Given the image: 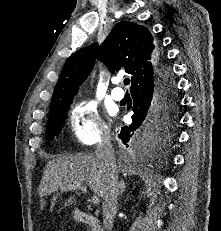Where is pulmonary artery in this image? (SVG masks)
I'll list each match as a JSON object with an SVG mask.
<instances>
[{
  "label": "pulmonary artery",
  "instance_id": "e3ab8cb5",
  "mask_svg": "<svg viewBox=\"0 0 221 231\" xmlns=\"http://www.w3.org/2000/svg\"><path fill=\"white\" fill-rule=\"evenodd\" d=\"M114 83H119V78L114 79ZM111 96L114 100L120 101L124 98V91L120 87H115L111 91Z\"/></svg>",
  "mask_w": 221,
  "mask_h": 231
}]
</instances>
